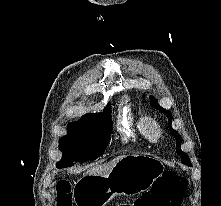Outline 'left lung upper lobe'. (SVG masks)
<instances>
[{
    "label": "left lung upper lobe",
    "instance_id": "5c2ea615",
    "mask_svg": "<svg viewBox=\"0 0 221 206\" xmlns=\"http://www.w3.org/2000/svg\"><path fill=\"white\" fill-rule=\"evenodd\" d=\"M151 101H152V102H151L152 106H153L155 109L160 110L161 112H163V113L167 116V118H168V120H169V130H170L171 134H172L173 136H175V139H176V152H177L178 155L181 156V162H182L183 164H186V165H188V166H191V162H190V159L188 158V155H187L186 153H184V152L181 151V148H180V147H181V136L178 134L177 131H175V130L172 129V127H171V123H172V114H171V112H169V111L163 109V108L155 101V98H154V97H151Z\"/></svg>",
    "mask_w": 221,
    "mask_h": 206
}]
</instances>
